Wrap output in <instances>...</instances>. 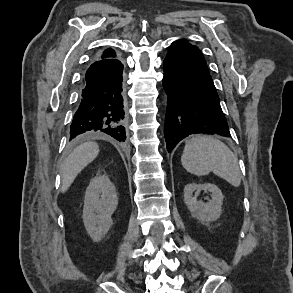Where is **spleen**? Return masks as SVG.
Masks as SVG:
<instances>
[{
    "label": "spleen",
    "mask_w": 293,
    "mask_h": 293,
    "mask_svg": "<svg viewBox=\"0 0 293 293\" xmlns=\"http://www.w3.org/2000/svg\"><path fill=\"white\" fill-rule=\"evenodd\" d=\"M183 167L197 176L211 171L234 187L241 184V174L234 153L222 141L206 135L189 139L181 156Z\"/></svg>",
    "instance_id": "spleen-1"
}]
</instances>
